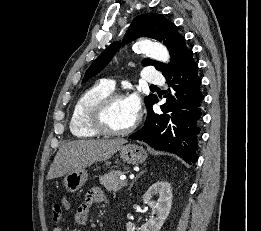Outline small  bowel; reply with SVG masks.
<instances>
[{
	"label": "small bowel",
	"mask_w": 261,
	"mask_h": 231,
	"mask_svg": "<svg viewBox=\"0 0 261 231\" xmlns=\"http://www.w3.org/2000/svg\"><path fill=\"white\" fill-rule=\"evenodd\" d=\"M98 203H109V200L105 196L102 190L94 188L91 189L83 202L77 208V211L74 215V225L76 226H84L88 223V216L91 207L94 204ZM63 207L61 205H55L53 209V221L56 223L53 231H64L67 223V220L63 217L62 214Z\"/></svg>",
	"instance_id": "obj_1"
}]
</instances>
